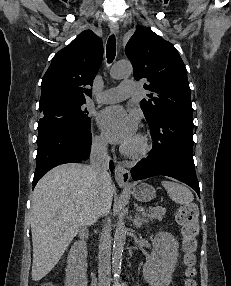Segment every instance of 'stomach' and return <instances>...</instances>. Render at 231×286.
Returning <instances> with one entry per match:
<instances>
[{
    "instance_id": "0dacf381",
    "label": "stomach",
    "mask_w": 231,
    "mask_h": 286,
    "mask_svg": "<svg viewBox=\"0 0 231 286\" xmlns=\"http://www.w3.org/2000/svg\"><path fill=\"white\" fill-rule=\"evenodd\" d=\"M130 192L140 202H148L155 197V189L147 183H141L130 188Z\"/></svg>"
}]
</instances>
